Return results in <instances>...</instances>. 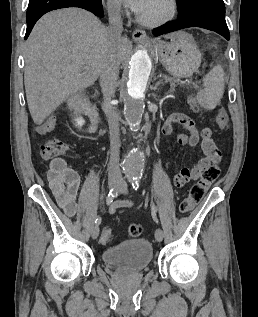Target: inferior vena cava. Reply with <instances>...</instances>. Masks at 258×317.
Segmentation results:
<instances>
[{
  "label": "inferior vena cava",
  "mask_w": 258,
  "mask_h": 317,
  "mask_svg": "<svg viewBox=\"0 0 258 317\" xmlns=\"http://www.w3.org/2000/svg\"><path fill=\"white\" fill-rule=\"evenodd\" d=\"M109 16V26H107V50L103 56L100 70V84L104 96V104L108 108V124L110 132V163L108 177L111 181L121 179L119 169L120 138H119V120L118 112L113 110L110 104L117 84L119 74L120 60L116 54L117 42L121 38L123 24L121 20V8L119 4H112L111 0L107 2Z\"/></svg>",
  "instance_id": "602c4592"
}]
</instances>
